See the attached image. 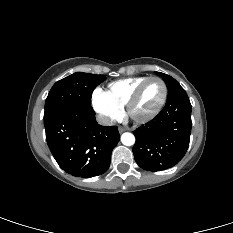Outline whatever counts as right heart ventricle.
<instances>
[{"label": "right heart ventricle", "instance_id": "obj_1", "mask_svg": "<svg viewBox=\"0 0 233 233\" xmlns=\"http://www.w3.org/2000/svg\"><path fill=\"white\" fill-rule=\"evenodd\" d=\"M147 78L142 76L111 82L104 93L112 103L123 108L136 87Z\"/></svg>", "mask_w": 233, "mask_h": 233}]
</instances>
